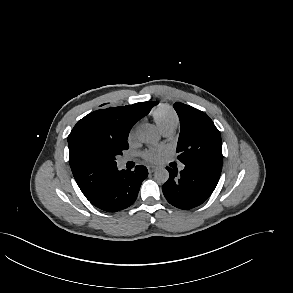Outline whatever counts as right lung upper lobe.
<instances>
[{
    "label": "right lung upper lobe",
    "instance_id": "cb5924a9",
    "mask_svg": "<svg viewBox=\"0 0 293 293\" xmlns=\"http://www.w3.org/2000/svg\"><path fill=\"white\" fill-rule=\"evenodd\" d=\"M157 102L94 111L82 118L68 136L69 163L73 176L87 199L117 170L105 151L128 138L132 126Z\"/></svg>",
    "mask_w": 293,
    "mask_h": 293
}]
</instances>
